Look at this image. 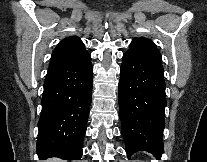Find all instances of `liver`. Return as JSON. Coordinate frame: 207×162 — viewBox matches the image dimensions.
<instances>
[{
  "label": "liver",
  "mask_w": 207,
  "mask_h": 162,
  "mask_svg": "<svg viewBox=\"0 0 207 162\" xmlns=\"http://www.w3.org/2000/svg\"><path fill=\"white\" fill-rule=\"evenodd\" d=\"M44 162H65V161H62V160L57 159V158H52V159H48V160H46Z\"/></svg>",
  "instance_id": "liver-1"
}]
</instances>
